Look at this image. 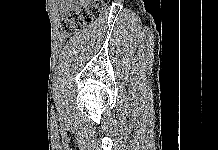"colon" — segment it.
I'll list each match as a JSON object with an SVG mask.
<instances>
[{"label": "colon", "instance_id": "5ec220e1", "mask_svg": "<svg viewBox=\"0 0 218 150\" xmlns=\"http://www.w3.org/2000/svg\"><path fill=\"white\" fill-rule=\"evenodd\" d=\"M107 2V0H93L92 4L87 7L69 10L61 21L62 36L69 37L96 20L106 10Z\"/></svg>", "mask_w": 218, "mask_h": 150}]
</instances>
